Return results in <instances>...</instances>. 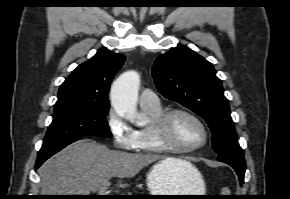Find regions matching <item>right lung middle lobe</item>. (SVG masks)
<instances>
[{"mask_svg":"<svg viewBox=\"0 0 290 199\" xmlns=\"http://www.w3.org/2000/svg\"><path fill=\"white\" fill-rule=\"evenodd\" d=\"M109 104H72L54 108L40 151L64 147L88 135L111 137L105 119Z\"/></svg>","mask_w":290,"mask_h":199,"instance_id":"obj_1","label":"right lung middle lobe"}]
</instances>
